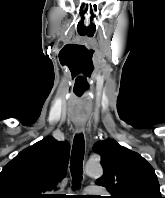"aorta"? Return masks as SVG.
Returning <instances> with one entry per match:
<instances>
[{
  "instance_id": "obj_1",
  "label": "aorta",
  "mask_w": 165,
  "mask_h": 198,
  "mask_svg": "<svg viewBox=\"0 0 165 198\" xmlns=\"http://www.w3.org/2000/svg\"><path fill=\"white\" fill-rule=\"evenodd\" d=\"M85 173L89 176H101L103 169L99 163H88L85 166Z\"/></svg>"
}]
</instances>
